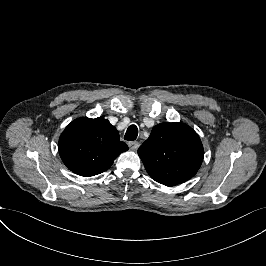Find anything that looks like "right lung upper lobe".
I'll return each instance as SVG.
<instances>
[{
	"mask_svg": "<svg viewBox=\"0 0 266 266\" xmlns=\"http://www.w3.org/2000/svg\"><path fill=\"white\" fill-rule=\"evenodd\" d=\"M119 133L104 117L78 118L72 121L59 139L62 161L80 176H94L111 167L128 150Z\"/></svg>",
	"mask_w": 266,
	"mask_h": 266,
	"instance_id": "right-lung-upper-lobe-1",
	"label": "right lung upper lobe"
}]
</instances>
